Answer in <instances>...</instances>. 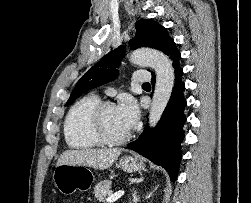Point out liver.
<instances>
[{"instance_id": "1", "label": "liver", "mask_w": 251, "mask_h": 203, "mask_svg": "<svg viewBox=\"0 0 251 203\" xmlns=\"http://www.w3.org/2000/svg\"><path fill=\"white\" fill-rule=\"evenodd\" d=\"M120 154L119 148L66 150L58 158L56 166L74 164L104 170L111 167Z\"/></svg>"}]
</instances>
